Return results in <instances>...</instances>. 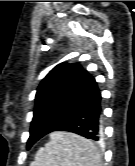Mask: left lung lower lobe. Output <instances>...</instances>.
<instances>
[{
    "mask_svg": "<svg viewBox=\"0 0 135 166\" xmlns=\"http://www.w3.org/2000/svg\"><path fill=\"white\" fill-rule=\"evenodd\" d=\"M101 100L95 79L83 70L59 109L40 125H31L27 149L54 131H69L99 141L102 135Z\"/></svg>",
    "mask_w": 135,
    "mask_h": 166,
    "instance_id": "0a47b994",
    "label": "left lung lower lobe"
}]
</instances>
